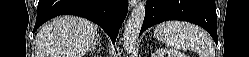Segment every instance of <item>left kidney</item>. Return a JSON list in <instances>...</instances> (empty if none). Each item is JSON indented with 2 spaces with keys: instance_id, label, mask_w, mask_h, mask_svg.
Masks as SVG:
<instances>
[{
  "instance_id": "obj_1",
  "label": "left kidney",
  "mask_w": 249,
  "mask_h": 57,
  "mask_svg": "<svg viewBox=\"0 0 249 57\" xmlns=\"http://www.w3.org/2000/svg\"><path fill=\"white\" fill-rule=\"evenodd\" d=\"M151 57H186V55L175 49H157Z\"/></svg>"
}]
</instances>
